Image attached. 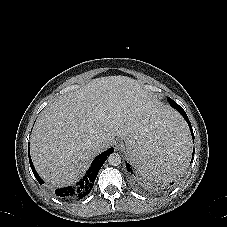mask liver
Instances as JSON below:
<instances>
[{
	"label": "liver",
	"instance_id": "1",
	"mask_svg": "<svg viewBox=\"0 0 227 227\" xmlns=\"http://www.w3.org/2000/svg\"><path fill=\"white\" fill-rule=\"evenodd\" d=\"M153 103L140 83L125 76L93 79L64 94L38 117L31 136V157L51 187L76 182L94 157L151 114ZM103 140L100 151L92 148Z\"/></svg>",
	"mask_w": 227,
	"mask_h": 227
}]
</instances>
